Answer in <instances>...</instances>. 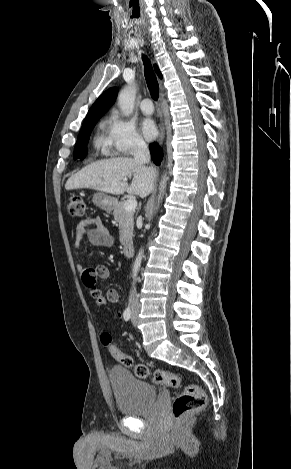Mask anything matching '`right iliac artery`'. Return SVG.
I'll use <instances>...</instances> for the list:
<instances>
[{
	"label": "right iliac artery",
	"mask_w": 291,
	"mask_h": 469,
	"mask_svg": "<svg viewBox=\"0 0 291 469\" xmlns=\"http://www.w3.org/2000/svg\"><path fill=\"white\" fill-rule=\"evenodd\" d=\"M123 318L125 321H128L131 318V310L130 308H126L125 311L123 312Z\"/></svg>",
	"instance_id": "1"
}]
</instances>
